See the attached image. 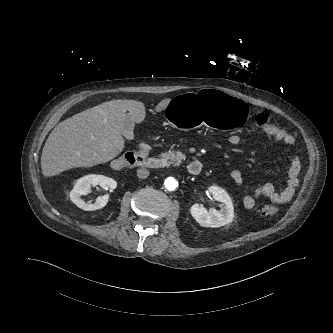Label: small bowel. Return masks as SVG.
<instances>
[{"label":"small bowel","mask_w":333,"mask_h":333,"mask_svg":"<svg viewBox=\"0 0 333 333\" xmlns=\"http://www.w3.org/2000/svg\"><path fill=\"white\" fill-rule=\"evenodd\" d=\"M277 128H278L277 135L272 137L275 140V142L283 143L287 147L294 146L296 142L295 137L289 132H287L285 129L279 127ZM228 141L233 146H239L243 143V138L238 134H232L229 137ZM143 145H146L148 147L147 144H141L140 147H142ZM148 151L149 147L146 150V153H148ZM300 168L301 164L299 156L296 153H292L291 163L288 169V178L284 189L281 191H277L271 183L261 184L255 188L252 194L246 195L243 198V205L246 208L251 209L254 207L256 200L261 197L268 198L275 203H284L289 201L292 198L295 189L298 185V175L300 172ZM230 178L238 186L244 185V176L240 170L238 169L232 170L230 172Z\"/></svg>","instance_id":"1"}]
</instances>
